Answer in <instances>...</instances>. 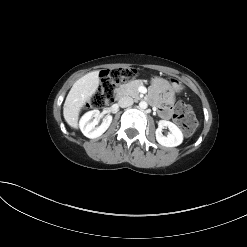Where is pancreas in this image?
I'll use <instances>...</instances> for the list:
<instances>
[{
  "mask_svg": "<svg viewBox=\"0 0 247 247\" xmlns=\"http://www.w3.org/2000/svg\"><path fill=\"white\" fill-rule=\"evenodd\" d=\"M142 81L140 80H135V81H131L128 82L126 84L121 85L122 86V90H123V95H129L132 96L136 99H138L140 97V93L138 91V88L142 85Z\"/></svg>",
  "mask_w": 247,
  "mask_h": 247,
  "instance_id": "obj_1",
  "label": "pancreas"
}]
</instances>
